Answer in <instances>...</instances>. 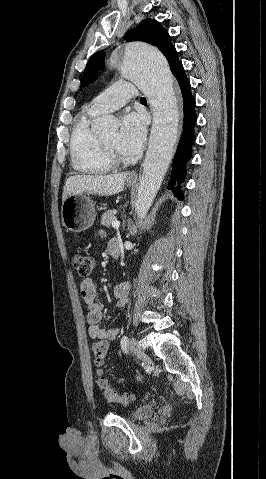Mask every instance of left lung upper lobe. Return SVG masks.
Instances as JSON below:
<instances>
[{
	"mask_svg": "<svg viewBox=\"0 0 266 479\" xmlns=\"http://www.w3.org/2000/svg\"><path fill=\"white\" fill-rule=\"evenodd\" d=\"M124 39L126 41H143L156 46L167 58L171 71L181 62L177 52L170 42L168 32L156 20L145 19L138 26L128 31ZM104 52H97L89 59L82 79V85L90 83L96 76L98 69L104 66Z\"/></svg>",
	"mask_w": 266,
	"mask_h": 479,
	"instance_id": "left-lung-upper-lobe-1",
	"label": "left lung upper lobe"
}]
</instances>
